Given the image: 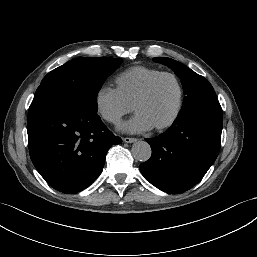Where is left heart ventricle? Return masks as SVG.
Listing matches in <instances>:
<instances>
[{"label":"left heart ventricle","instance_id":"1","mask_svg":"<svg viewBox=\"0 0 257 257\" xmlns=\"http://www.w3.org/2000/svg\"><path fill=\"white\" fill-rule=\"evenodd\" d=\"M178 100V89L174 80L164 77L158 81L151 94L138 103L135 111L142 113L154 126L165 122L173 114Z\"/></svg>","mask_w":257,"mask_h":257}]
</instances>
